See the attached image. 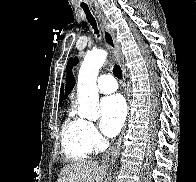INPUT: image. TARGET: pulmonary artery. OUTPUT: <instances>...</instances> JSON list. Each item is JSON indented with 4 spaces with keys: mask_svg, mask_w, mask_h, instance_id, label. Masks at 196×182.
Returning <instances> with one entry per match:
<instances>
[{
    "mask_svg": "<svg viewBox=\"0 0 196 182\" xmlns=\"http://www.w3.org/2000/svg\"><path fill=\"white\" fill-rule=\"evenodd\" d=\"M97 88L105 94L115 92L118 88L115 78L111 75H102L97 81Z\"/></svg>",
    "mask_w": 196,
    "mask_h": 182,
    "instance_id": "e3ab8cb5",
    "label": "pulmonary artery"
}]
</instances>
